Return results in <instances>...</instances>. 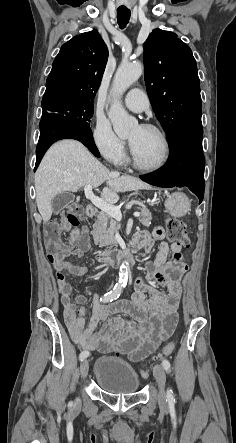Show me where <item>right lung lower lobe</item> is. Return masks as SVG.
Segmentation results:
<instances>
[{
	"instance_id": "obj_1",
	"label": "right lung lower lobe",
	"mask_w": 236,
	"mask_h": 443,
	"mask_svg": "<svg viewBox=\"0 0 236 443\" xmlns=\"http://www.w3.org/2000/svg\"><path fill=\"white\" fill-rule=\"evenodd\" d=\"M40 138L36 148V164L38 167L47 149L56 141L61 139H76L82 142L95 156L100 153L95 146L92 132L76 123L70 118L57 113L42 114L40 121Z\"/></svg>"
}]
</instances>
